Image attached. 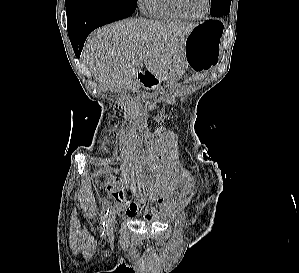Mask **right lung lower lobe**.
I'll use <instances>...</instances> for the list:
<instances>
[{
    "label": "right lung lower lobe",
    "instance_id": "1",
    "mask_svg": "<svg viewBox=\"0 0 299 273\" xmlns=\"http://www.w3.org/2000/svg\"><path fill=\"white\" fill-rule=\"evenodd\" d=\"M136 4L114 1H72L66 5L67 30L75 55L79 58L87 36L96 28L124 19Z\"/></svg>",
    "mask_w": 299,
    "mask_h": 273
}]
</instances>
